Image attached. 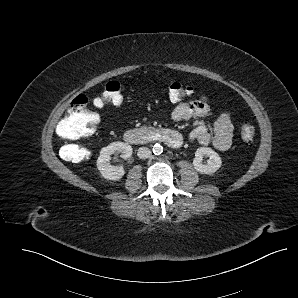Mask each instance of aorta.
<instances>
[{
  "label": "aorta",
  "mask_w": 298,
  "mask_h": 298,
  "mask_svg": "<svg viewBox=\"0 0 298 298\" xmlns=\"http://www.w3.org/2000/svg\"><path fill=\"white\" fill-rule=\"evenodd\" d=\"M152 151L155 155H160L163 152V147L159 143H156L153 146Z\"/></svg>",
  "instance_id": "obj_1"
}]
</instances>
